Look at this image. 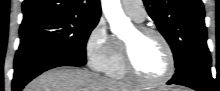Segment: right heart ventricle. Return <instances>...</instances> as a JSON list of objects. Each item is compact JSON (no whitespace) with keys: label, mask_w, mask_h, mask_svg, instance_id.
<instances>
[{"label":"right heart ventricle","mask_w":220,"mask_h":91,"mask_svg":"<svg viewBox=\"0 0 220 91\" xmlns=\"http://www.w3.org/2000/svg\"><path fill=\"white\" fill-rule=\"evenodd\" d=\"M105 72L108 76L115 79L123 80L128 78L124 67L122 42L118 39H116L115 56Z\"/></svg>","instance_id":"e07e8e85"}]
</instances>
